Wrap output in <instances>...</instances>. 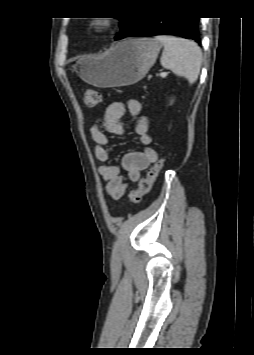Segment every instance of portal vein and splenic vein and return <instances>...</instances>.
I'll return each instance as SVG.
<instances>
[{"mask_svg": "<svg viewBox=\"0 0 254 355\" xmlns=\"http://www.w3.org/2000/svg\"><path fill=\"white\" fill-rule=\"evenodd\" d=\"M167 74H168L167 72H161V73H160V76H161V77H166Z\"/></svg>", "mask_w": 254, "mask_h": 355, "instance_id": "1", "label": "portal vein and splenic vein"}]
</instances>
